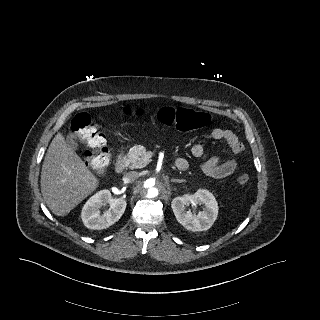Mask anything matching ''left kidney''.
<instances>
[{
  "mask_svg": "<svg viewBox=\"0 0 320 320\" xmlns=\"http://www.w3.org/2000/svg\"><path fill=\"white\" fill-rule=\"evenodd\" d=\"M189 204H202L204 209L195 214L191 210H186ZM171 208L177 221L187 230L193 232L210 229L218 215L217 201L213 194L205 189H200L194 194H185L174 198Z\"/></svg>",
  "mask_w": 320,
  "mask_h": 320,
  "instance_id": "left-kidney-1",
  "label": "left kidney"
}]
</instances>
